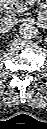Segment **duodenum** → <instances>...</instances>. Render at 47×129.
I'll return each instance as SVG.
<instances>
[{
	"instance_id": "410a0bca",
	"label": "duodenum",
	"mask_w": 47,
	"mask_h": 129,
	"mask_svg": "<svg viewBox=\"0 0 47 129\" xmlns=\"http://www.w3.org/2000/svg\"><path fill=\"white\" fill-rule=\"evenodd\" d=\"M16 4L12 0H3L1 10L4 14H10L15 9Z\"/></svg>"
}]
</instances>
